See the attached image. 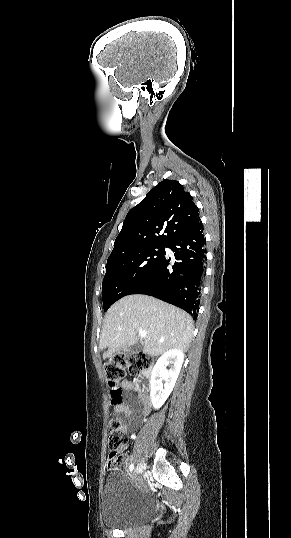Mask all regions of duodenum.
I'll use <instances>...</instances> for the list:
<instances>
[{"label":"duodenum","instance_id":"obj_1","mask_svg":"<svg viewBox=\"0 0 291 538\" xmlns=\"http://www.w3.org/2000/svg\"><path fill=\"white\" fill-rule=\"evenodd\" d=\"M148 369H153V364H148ZM135 382H140L138 391L145 393L153 386V379L147 374H141L139 377H135Z\"/></svg>","mask_w":291,"mask_h":538}]
</instances>
